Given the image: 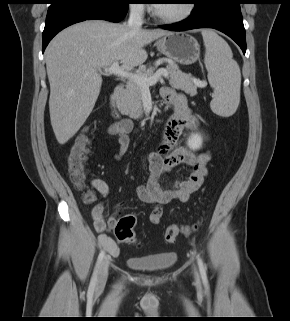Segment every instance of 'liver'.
<instances>
[{"label":"liver","mask_w":290,"mask_h":321,"mask_svg":"<svg viewBox=\"0 0 290 321\" xmlns=\"http://www.w3.org/2000/svg\"><path fill=\"white\" fill-rule=\"evenodd\" d=\"M168 33L88 20L67 27L52 39L45 61L50 120L59 144L72 138L92 112L102 85L99 70L118 61L124 67L142 65L148 58L144 47Z\"/></svg>","instance_id":"6515ba94"}]
</instances>
